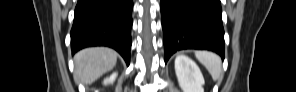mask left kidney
Segmentation results:
<instances>
[{
    "label": "left kidney",
    "mask_w": 296,
    "mask_h": 92,
    "mask_svg": "<svg viewBox=\"0 0 296 92\" xmlns=\"http://www.w3.org/2000/svg\"><path fill=\"white\" fill-rule=\"evenodd\" d=\"M175 72L183 92H204V78L194 61L185 55L175 59Z\"/></svg>",
    "instance_id": "1"
}]
</instances>
